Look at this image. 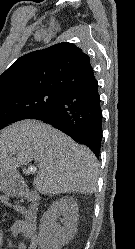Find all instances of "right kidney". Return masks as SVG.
<instances>
[{
  "label": "right kidney",
  "instance_id": "1",
  "mask_svg": "<svg viewBox=\"0 0 135 249\" xmlns=\"http://www.w3.org/2000/svg\"><path fill=\"white\" fill-rule=\"evenodd\" d=\"M60 219L63 226L56 221ZM78 206L72 197L56 200L43 214L38 234L41 249H61L77 231Z\"/></svg>",
  "mask_w": 135,
  "mask_h": 249
}]
</instances>
